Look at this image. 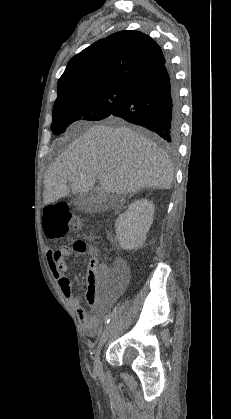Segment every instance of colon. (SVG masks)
Returning a JSON list of instances; mask_svg holds the SVG:
<instances>
[{
	"mask_svg": "<svg viewBox=\"0 0 231 419\" xmlns=\"http://www.w3.org/2000/svg\"><path fill=\"white\" fill-rule=\"evenodd\" d=\"M44 225L47 232L53 236H58L68 233L71 229H79L82 227V222L74 220V216L65 202H58L48 206L44 213ZM74 251L81 255L84 254L88 245L83 240H77L73 245ZM106 273L104 266L98 262H92L88 266V283L91 288L98 286L99 277ZM125 275L122 265H117L111 272L108 273V278L113 283Z\"/></svg>",
	"mask_w": 231,
	"mask_h": 419,
	"instance_id": "5ec220e1",
	"label": "colon"
}]
</instances>
